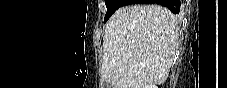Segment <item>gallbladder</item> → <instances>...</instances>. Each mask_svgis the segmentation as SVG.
Wrapping results in <instances>:
<instances>
[{"mask_svg": "<svg viewBox=\"0 0 227 88\" xmlns=\"http://www.w3.org/2000/svg\"><path fill=\"white\" fill-rule=\"evenodd\" d=\"M103 87L104 88H110L111 86H110V84L108 82H104Z\"/></svg>", "mask_w": 227, "mask_h": 88, "instance_id": "gallbladder-1", "label": "gallbladder"}]
</instances>
